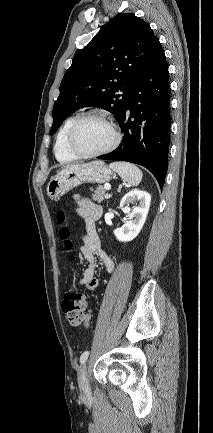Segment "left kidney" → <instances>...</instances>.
I'll return each instance as SVG.
<instances>
[{
  "mask_svg": "<svg viewBox=\"0 0 213 433\" xmlns=\"http://www.w3.org/2000/svg\"><path fill=\"white\" fill-rule=\"evenodd\" d=\"M135 201H139V206L131 209L129 204ZM150 203L151 195L143 190H132L122 198L120 208L128 217V221L121 228L114 230L119 241L129 242L137 237L146 221Z\"/></svg>",
  "mask_w": 213,
  "mask_h": 433,
  "instance_id": "1",
  "label": "left kidney"
}]
</instances>
